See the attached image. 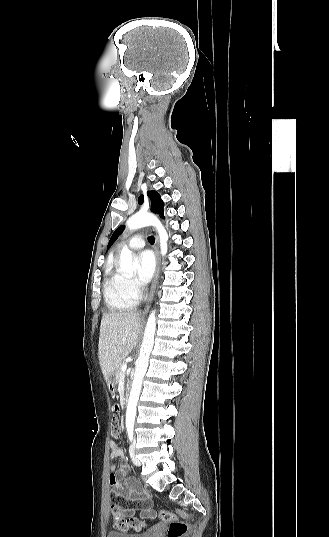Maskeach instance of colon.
Returning a JSON list of instances; mask_svg holds the SVG:
<instances>
[{
	"label": "colon",
	"mask_w": 329,
	"mask_h": 537,
	"mask_svg": "<svg viewBox=\"0 0 329 537\" xmlns=\"http://www.w3.org/2000/svg\"><path fill=\"white\" fill-rule=\"evenodd\" d=\"M112 437L118 439L121 434V429L119 421L115 418L112 422ZM111 512L114 516L116 522L114 526L116 528H121L123 533L128 531L127 526L130 525V520L126 519L122 515L121 506L111 505ZM187 514L181 510L177 509L175 511H166L162 510L160 512V518L163 522L168 523L167 537H184L188 531V523L185 521Z\"/></svg>",
	"instance_id": "obj_1"
}]
</instances>
